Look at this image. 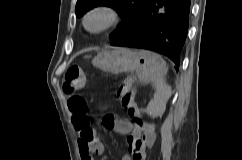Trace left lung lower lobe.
Masks as SVG:
<instances>
[{"label":"left lung lower lobe","mask_w":242,"mask_h":160,"mask_svg":"<svg viewBox=\"0 0 242 160\" xmlns=\"http://www.w3.org/2000/svg\"><path fill=\"white\" fill-rule=\"evenodd\" d=\"M190 0H148L132 29L113 46L152 50L170 58L177 67L189 25Z\"/></svg>","instance_id":"1"}]
</instances>
